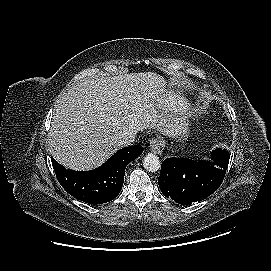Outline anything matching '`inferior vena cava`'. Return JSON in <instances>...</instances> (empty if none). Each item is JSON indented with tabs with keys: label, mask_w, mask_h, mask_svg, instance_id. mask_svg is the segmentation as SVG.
<instances>
[{
	"label": "inferior vena cava",
	"mask_w": 271,
	"mask_h": 271,
	"mask_svg": "<svg viewBox=\"0 0 271 271\" xmlns=\"http://www.w3.org/2000/svg\"><path fill=\"white\" fill-rule=\"evenodd\" d=\"M134 141H135V133L124 132V133H121L117 137L115 144L118 146V148H123V147L132 145Z\"/></svg>",
	"instance_id": "602c4592"
}]
</instances>
